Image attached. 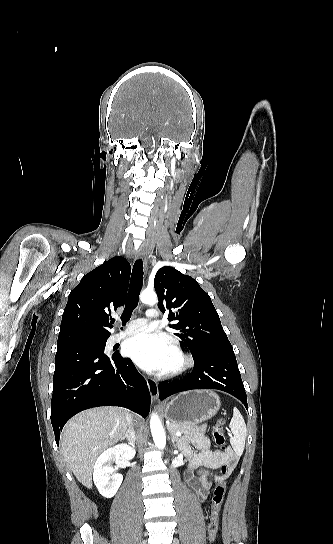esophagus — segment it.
Returning a JSON list of instances; mask_svg holds the SVG:
<instances>
[{
  "label": "esophagus",
  "instance_id": "esophagus-1",
  "mask_svg": "<svg viewBox=\"0 0 333 544\" xmlns=\"http://www.w3.org/2000/svg\"><path fill=\"white\" fill-rule=\"evenodd\" d=\"M137 257L142 259L144 272H147V267H148L147 253L143 247H141L139 251L137 252ZM147 386H148L152 399L154 400L157 399L159 395L158 383L153 379H147Z\"/></svg>",
  "mask_w": 333,
  "mask_h": 544
}]
</instances>
